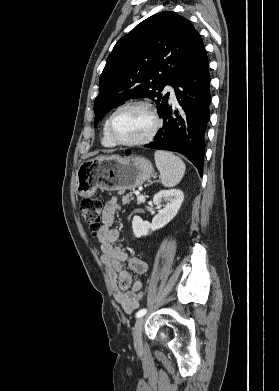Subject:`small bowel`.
Instances as JSON below:
<instances>
[{"instance_id": "obj_1", "label": "small bowel", "mask_w": 279, "mask_h": 391, "mask_svg": "<svg viewBox=\"0 0 279 391\" xmlns=\"http://www.w3.org/2000/svg\"><path fill=\"white\" fill-rule=\"evenodd\" d=\"M119 210L120 205L116 199L106 203L97 238L102 251L101 262L108 268L114 298L126 313H132L139 306L137 295L142 291L143 283L140 280L133 282L130 273L123 265L127 264L135 273L144 274L148 270V264L137 257L130 256L121 247L115 246L120 230L113 225Z\"/></svg>"}]
</instances>
